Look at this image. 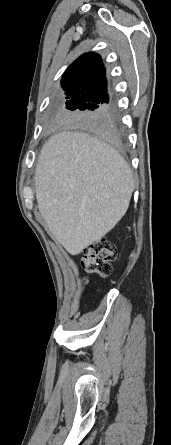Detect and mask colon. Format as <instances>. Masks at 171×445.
Returning <instances> with one entry per match:
<instances>
[{"label": "colon", "instance_id": "5ec220e1", "mask_svg": "<svg viewBox=\"0 0 171 445\" xmlns=\"http://www.w3.org/2000/svg\"><path fill=\"white\" fill-rule=\"evenodd\" d=\"M116 256V247L107 240L86 247L82 252V266L88 273L105 275L110 270L109 262ZM88 283V279H83Z\"/></svg>", "mask_w": 171, "mask_h": 445}]
</instances>
